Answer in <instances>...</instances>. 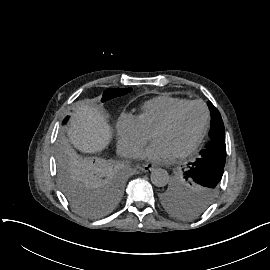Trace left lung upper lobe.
Here are the masks:
<instances>
[{"label": "left lung upper lobe", "instance_id": "obj_1", "mask_svg": "<svg viewBox=\"0 0 270 270\" xmlns=\"http://www.w3.org/2000/svg\"><path fill=\"white\" fill-rule=\"evenodd\" d=\"M211 111L210 141L200 157L189 163L183 177L161 195L164 207L185 218L207 209L217 195L226 160L225 129L219 111L208 101Z\"/></svg>", "mask_w": 270, "mask_h": 270}]
</instances>
